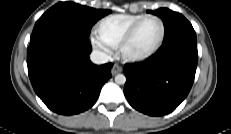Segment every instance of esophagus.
I'll return each mask as SVG.
<instances>
[{"label":"esophagus","instance_id":"34e87169","mask_svg":"<svg viewBox=\"0 0 231 134\" xmlns=\"http://www.w3.org/2000/svg\"><path fill=\"white\" fill-rule=\"evenodd\" d=\"M122 71V67L119 66L118 64H114L111 68V74L116 75Z\"/></svg>","mask_w":231,"mask_h":134}]
</instances>
